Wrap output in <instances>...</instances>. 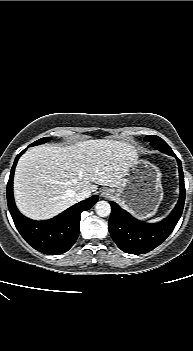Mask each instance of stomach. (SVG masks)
<instances>
[{"label":"stomach","instance_id":"1","mask_svg":"<svg viewBox=\"0 0 193 351\" xmlns=\"http://www.w3.org/2000/svg\"><path fill=\"white\" fill-rule=\"evenodd\" d=\"M115 198L141 219L153 216L163 199L161 172L158 167L149 161L134 158L123 184L115 191Z\"/></svg>","mask_w":193,"mask_h":351}]
</instances>
